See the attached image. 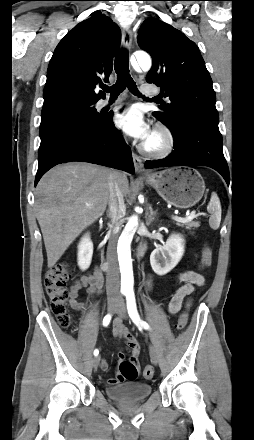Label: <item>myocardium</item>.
Returning <instances> with one entry per match:
<instances>
[{
  "label": "myocardium",
  "instance_id": "obj_1",
  "mask_svg": "<svg viewBox=\"0 0 254 440\" xmlns=\"http://www.w3.org/2000/svg\"><path fill=\"white\" fill-rule=\"evenodd\" d=\"M153 133L160 137V143L157 146L152 147L146 142L141 146V151L146 156L152 158H163L168 156L175 146L173 132L167 125L159 123L156 125Z\"/></svg>",
  "mask_w": 254,
  "mask_h": 440
}]
</instances>
